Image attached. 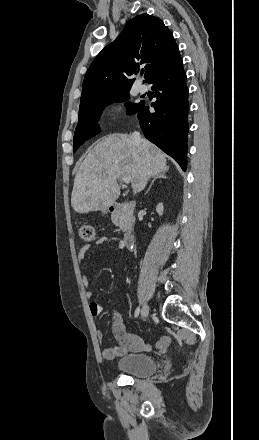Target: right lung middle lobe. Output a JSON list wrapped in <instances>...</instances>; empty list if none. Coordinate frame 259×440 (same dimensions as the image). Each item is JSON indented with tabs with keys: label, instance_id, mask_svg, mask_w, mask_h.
Wrapping results in <instances>:
<instances>
[{
	"label": "right lung middle lobe",
	"instance_id": "obj_1",
	"mask_svg": "<svg viewBox=\"0 0 259 440\" xmlns=\"http://www.w3.org/2000/svg\"><path fill=\"white\" fill-rule=\"evenodd\" d=\"M127 99H129V89L119 91L79 108V121L73 139V152H76L86 140L99 133V128L97 126L98 120L102 110L107 105L113 102L125 101ZM141 103L142 101L138 104L126 103L125 105L128 108V113H136L139 110Z\"/></svg>",
	"mask_w": 259,
	"mask_h": 440
}]
</instances>
